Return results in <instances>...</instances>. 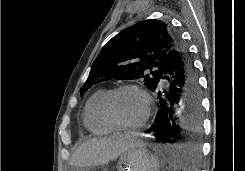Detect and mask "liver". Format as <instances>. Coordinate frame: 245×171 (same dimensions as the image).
<instances>
[{
  "label": "liver",
  "mask_w": 245,
  "mask_h": 171,
  "mask_svg": "<svg viewBox=\"0 0 245 171\" xmlns=\"http://www.w3.org/2000/svg\"><path fill=\"white\" fill-rule=\"evenodd\" d=\"M145 144L135 134H114L110 137L92 138L84 142L73 154L70 164L89 167L107 164L126 151Z\"/></svg>",
  "instance_id": "6515ba94"
}]
</instances>
